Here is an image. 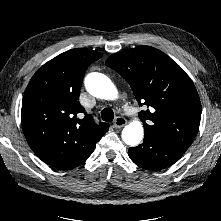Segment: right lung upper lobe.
Returning <instances> with one entry per match:
<instances>
[{
  "mask_svg": "<svg viewBox=\"0 0 221 221\" xmlns=\"http://www.w3.org/2000/svg\"><path fill=\"white\" fill-rule=\"evenodd\" d=\"M102 57L76 48L44 64L30 80L22 101L21 122L34 153L46 164L63 170L84 163L109 124L97 125L79 104L88 66Z\"/></svg>",
  "mask_w": 221,
  "mask_h": 221,
  "instance_id": "1",
  "label": "right lung upper lobe"
}]
</instances>
